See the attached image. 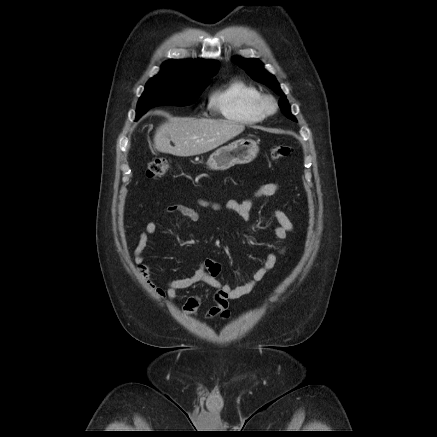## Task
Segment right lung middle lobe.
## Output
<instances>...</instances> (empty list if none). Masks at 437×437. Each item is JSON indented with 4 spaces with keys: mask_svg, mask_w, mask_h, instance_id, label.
Instances as JSON below:
<instances>
[{
    "mask_svg": "<svg viewBox=\"0 0 437 437\" xmlns=\"http://www.w3.org/2000/svg\"><path fill=\"white\" fill-rule=\"evenodd\" d=\"M209 82L210 80L186 82L158 75L153 77L146 84L145 91L139 99L136 119L155 106L192 104Z\"/></svg>",
    "mask_w": 437,
    "mask_h": 437,
    "instance_id": "1",
    "label": "right lung middle lobe"
}]
</instances>
